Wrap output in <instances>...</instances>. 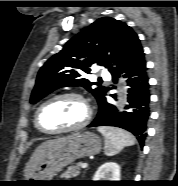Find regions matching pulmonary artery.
I'll list each match as a JSON object with an SVG mask.
<instances>
[{
    "label": "pulmonary artery",
    "mask_w": 178,
    "mask_h": 186,
    "mask_svg": "<svg viewBox=\"0 0 178 186\" xmlns=\"http://www.w3.org/2000/svg\"><path fill=\"white\" fill-rule=\"evenodd\" d=\"M101 75H102L104 78H108V77H109V74H108L107 70L104 69V68H101Z\"/></svg>",
    "instance_id": "obj_1"
}]
</instances>
